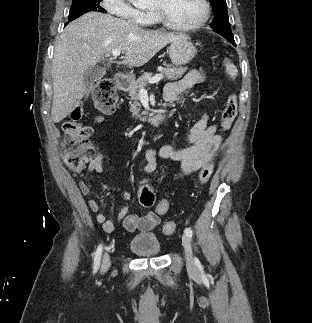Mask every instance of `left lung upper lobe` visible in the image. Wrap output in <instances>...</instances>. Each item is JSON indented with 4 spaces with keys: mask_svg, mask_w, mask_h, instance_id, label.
<instances>
[{
    "mask_svg": "<svg viewBox=\"0 0 312 323\" xmlns=\"http://www.w3.org/2000/svg\"><path fill=\"white\" fill-rule=\"evenodd\" d=\"M209 1L213 6V11L215 12L214 20L210 24L212 29L223 37L227 38L230 42L235 43L228 20L226 0Z\"/></svg>",
    "mask_w": 312,
    "mask_h": 323,
    "instance_id": "5c2ea615",
    "label": "left lung upper lobe"
}]
</instances>
